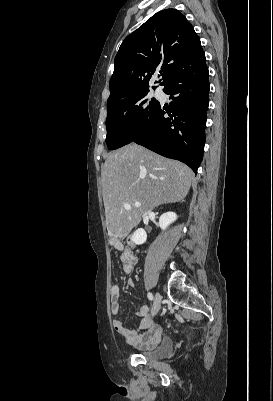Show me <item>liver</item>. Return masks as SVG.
<instances>
[{
    "label": "liver",
    "instance_id": "1",
    "mask_svg": "<svg viewBox=\"0 0 273 401\" xmlns=\"http://www.w3.org/2000/svg\"><path fill=\"white\" fill-rule=\"evenodd\" d=\"M101 176L106 227L110 241H115L126 237L150 209L183 201L194 172L179 160L131 142L110 152ZM134 203H141V207ZM124 205H131V209H124Z\"/></svg>",
    "mask_w": 273,
    "mask_h": 401
}]
</instances>
